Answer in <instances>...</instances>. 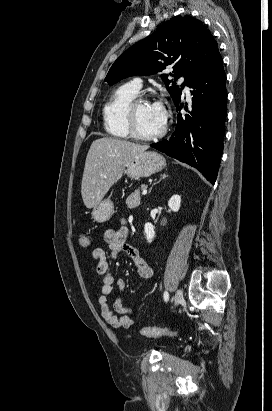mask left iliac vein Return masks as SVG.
Masks as SVG:
<instances>
[{"mask_svg": "<svg viewBox=\"0 0 272 411\" xmlns=\"http://www.w3.org/2000/svg\"><path fill=\"white\" fill-rule=\"evenodd\" d=\"M182 302H183V291L181 289H178L174 297V304L175 306H178Z\"/></svg>", "mask_w": 272, "mask_h": 411, "instance_id": "obj_1", "label": "left iliac vein"}]
</instances>
